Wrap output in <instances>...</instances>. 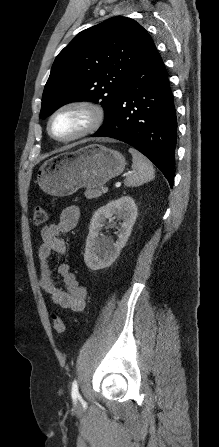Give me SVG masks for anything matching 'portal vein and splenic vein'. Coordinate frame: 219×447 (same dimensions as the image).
<instances>
[{
  "instance_id": "portal-vein-and-splenic-vein-1",
  "label": "portal vein and splenic vein",
  "mask_w": 219,
  "mask_h": 447,
  "mask_svg": "<svg viewBox=\"0 0 219 447\" xmlns=\"http://www.w3.org/2000/svg\"><path fill=\"white\" fill-rule=\"evenodd\" d=\"M101 190H102L103 193H105V192L108 191V187H107V186H103V187L101 188Z\"/></svg>"
}]
</instances>
